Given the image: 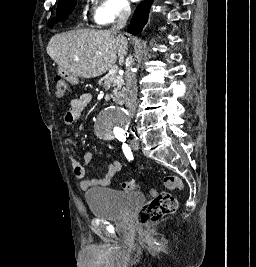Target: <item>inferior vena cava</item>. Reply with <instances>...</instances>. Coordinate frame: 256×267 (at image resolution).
<instances>
[{"instance_id": "1", "label": "inferior vena cava", "mask_w": 256, "mask_h": 267, "mask_svg": "<svg viewBox=\"0 0 256 267\" xmlns=\"http://www.w3.org/2000/svg\"><path fill=\"white\" fill-rule=\"evenodd\" d=\"M130 14H131L130 6H122L117 16V20H115L111 28V32H119V30L125 28ZM120 38H123L121 34ZM123 40H125V38H123ZM125 84H126L125 106L127 108L129 118H133L136 110V100H137L136 74L135 72H133V62L129 64L126 70Z\"/></svg>"}]
</instances>
